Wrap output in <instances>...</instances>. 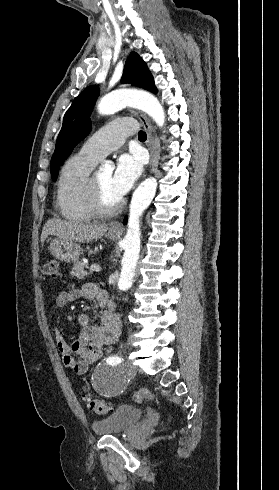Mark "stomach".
Wrapping results in <instances>:
<instances>
[{"instance_id":"obj_1","label":"stomach","mask_w":279,"mask_h":490,"mask_svg":"<svg viewBox=\"0 0 279 490\" xmlns=\"http://www.w3.org/2000/svg\"><path fill=\"white\" fill-rule=\"evenodd\" d=\"M119 234H121V232H111L109 228L107 236L110 240H116ZM49 250L52 256H54L56 260H60V262H76L80 254H82V250L78 244L70 242V240H60V238L51 240Z\"/></svg>"}]
</instances>
